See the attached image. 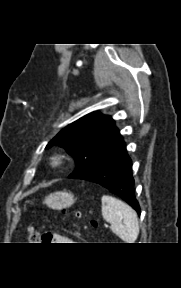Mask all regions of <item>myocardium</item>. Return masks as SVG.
<instances>
[{"instance_id": "myocardium-1", "label": "myocardium", "mask_w": 181, "mask_h": 288, "mask_svg": "<svg viewBox=\"0 0 181 288\" xmlns=\"http://www.w3.org/2000/svg\"><path fill=\"white\" fill-rule=\"evenodd\" d=\"M67 158L61 153H53L47 161V165L52 170H58L65 166Z\"/></svg>"}]
</instances>
